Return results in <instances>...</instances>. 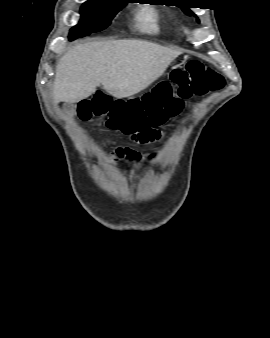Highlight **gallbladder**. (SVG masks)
<instances>
[{
    "instance_id": "gallbladder-1",
    "label": "gallbladder",
    "mask_w": 270,
    "mask_h": 338,
    "mask_svg": "<svg viewBox=\"0 0 270 338\" xmlns=\"http://www.w3.org/2000/svg\"><path fill=\"white\" fill-rule=\"evenodd\" d=\"M64 109L71 115L75 113V105L73 103H64Z\"/></svg>"
}]
</instances>
